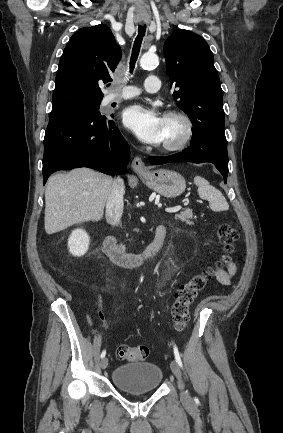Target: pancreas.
Wrapping results in <instances>:
<instances>
[{"label": "pancreas", "mask_w": 283, "mask_h": 433, "mask_svg": "<svg viewBox=\"0 0 283 433\" xmlns=\"http://www.w3.org/2000/svg\"><path fill=\"white\" fill-rule=\"evenodd\" d=\"M175 219H179V221H189V219H193L192 208H185L180 214H176Z\"/></svg>", "instance_id": "obj_1"}]
</instances>
